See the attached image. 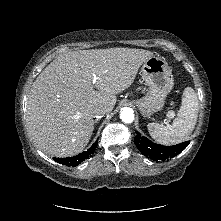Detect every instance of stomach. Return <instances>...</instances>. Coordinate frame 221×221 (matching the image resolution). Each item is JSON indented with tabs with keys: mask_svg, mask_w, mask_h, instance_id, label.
<instances>
[{
	"mask_svg": "<svg viewBox=\"0 0 221 221\" xmlns=\"http://www.w3.org/2000/svg\"><path fill=\"white\" fill-rule=\"evenodd\" d=\"M141 74L148 91L143 98L136 101V105L142 116L150 117L163 108L166 96L174 86V78L167 62L156 56L142 64Z\"/></svg>",
	"mask_w": 221,
	"mask_h": 221,
	"instance_id": "0dacf381",
	"label": "stomach"
}]
</instances>
